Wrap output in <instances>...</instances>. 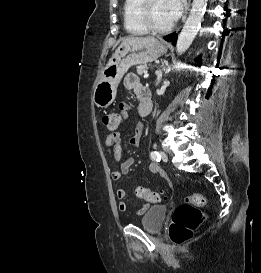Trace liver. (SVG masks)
Here are the masks:
<instances>
[{
	"mask_svg": "<svg viewBox=\"0 0 261 273\" xmlns=\"http://www.w3.org/2000/svg\"><path fill=\"white\" fill-rule=\"evenodd\" d=\"M135 39H141V38H134V37H132V38H127V39H125V40L122 42V44H125V43L130 42V41L135 40Z\"/></svg>",
	"mask_w": 261,
	"mask_h": 273,
	"instance_id": "liver-1",
	"label": "liver"
}]
</instances>
